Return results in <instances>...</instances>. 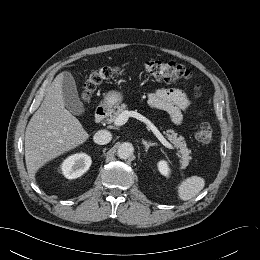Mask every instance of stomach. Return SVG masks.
<instances>
[{"instance_id":"0dacf381","label":"stomach","mask_w":260,"mask_h":260,"mask_svg":"<svg viewBox=\"0 0 260 260\" xmlns=\"http://www.w3.org/2000/svg\"><path fill=\"white\" fill-rule=\"evenodd\" d=\"M123 100V95L118 91H109L104 98V104L109 107L117 106Z\"/></svg>"}]
</instances>
